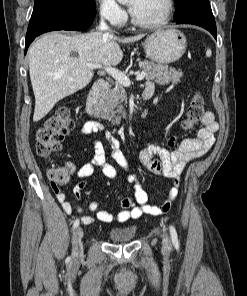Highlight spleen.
Returning a JSON list of instances; mask_svg holds the SVG:
<instances>
[{
	"label": "spleen",
	"instance_id": "obj_1",
	"mask_svg": "<svg viewBox=\"0 0 247 296\" xmlns=\"http://www.w3.org/2000/svg\"><path fill=\"white\" fill-rule=\"evenodd\" d=\"M206 55H207V57H210V56L212 55V52H211L210 49H207V51H206Z\"/></svg>",
	"mask_w": 247,
	"mask_h": 296
}]
</instances>
